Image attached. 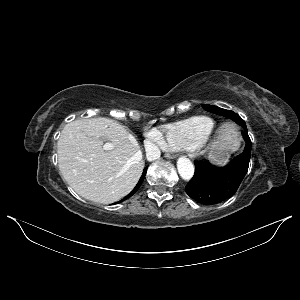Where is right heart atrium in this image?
<instances>
[{
	"label": "right heart atrium",
	"instance_id": "right-heart-atrium-1",
	"mask_svg": "<svg viewBox=\"0 0 300 300\" xmlns=\"http://www.w3.org/2000/svg\"><path fill=\"white\" fill-rule=\"evenodd\" d=\"M146 136L150 142L155 144L160 149H162V150L167 149V144L165 142L163 134L158 129H156V128L149 129L147 131Z\"/></svg>",
	"mask_w": 300,
	"mask_h": 300
}]
</instances>
